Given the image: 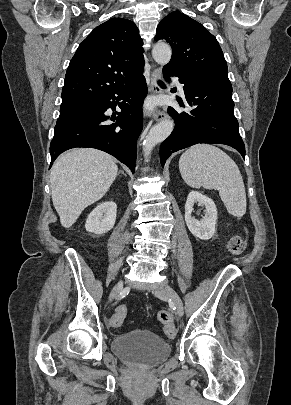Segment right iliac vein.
<instances>
[{
  "mask_svg": "<svg viewBox=\"0 0 291 405\" xmlns=\"http://www.w3.org/2000/svg\"><path fill=\"white\" fill-rule=\"evenodd\" d=\"M123 289V281H120L112 290L109 300L112 301Z\"/></svg>",
  "mask_w": 291,
  "mask_h": 405,
  "instance_id": "1",
  "label": "right iliac vein"
}]
</instances>
